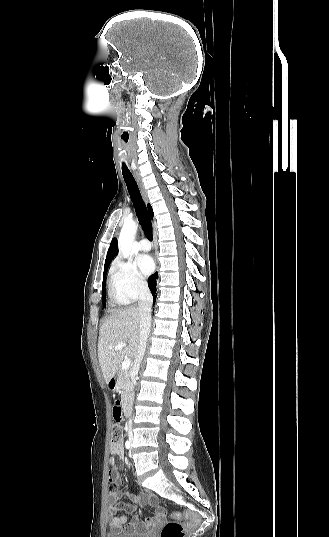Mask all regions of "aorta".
<instances>
[{"label":"aorta","instance_id":"aorta-1","mask_svg":"<svg viewBox=\"0 0 329 537\" xmlns=\"http://www.w3.org/2000/svg\"><path fill=\"white\" fill-rule=\"evenodd\" d=\"M137 230L135 222H125L118 239L119 251L124 258H128L132 249L133 238Z\"/></svg>","mask_w":329,"mask_h":537}]
</instances>
